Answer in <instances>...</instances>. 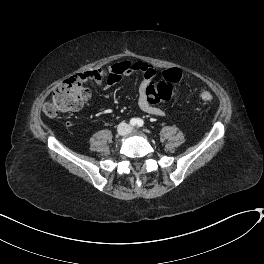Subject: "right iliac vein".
<instances>
[{
    "instance_id": "63e3f726",
    "label": "right iliac vein",
    "mask_w": 264,
    "mask_h": 264,
    "mask_svg": "<svg viewBox=\"0 0 264 264\" xmlns=\"http://www.w3.org/2000/svg\"><path fill=\"white\" fill-rule=\"evenodd\" d=\"M128 133V127L126 125H122L119 129H118V134L120 136H124Z\"/></svg>"
}]
</instances>
